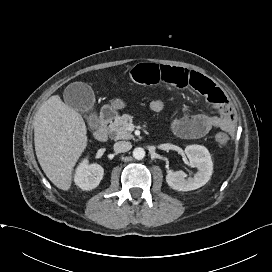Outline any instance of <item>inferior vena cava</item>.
Here are the masks:
<instances>
[{
	"label": "inferior vena cava",
	"mask_w": 272,
	"mask_h": 272,
	"mask_svg": "<svg viewBox=\"0 0 272 272\" xmlns=\"http://www.w3.org/2000/svg\"><path fill=\"white\" fill-rule=\"evenodd\" d=\"M132 148V145L128 141H119L114 144V150L118 153L127 152Z\"/></svg>",
	"instance_id": "obj_1"
}]
</instances>
